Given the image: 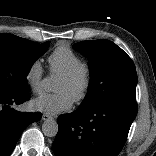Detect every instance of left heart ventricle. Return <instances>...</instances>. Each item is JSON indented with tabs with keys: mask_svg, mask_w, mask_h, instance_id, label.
<instances>
[{
	"mask_svg": "<svg viewBox=\"0 0 156 156\" xmlns=\"http://www.w3.org/2000/svg\"><path fill=\"white\" fill-rule=\"evenodd\" d=\"M78 88V83L68 82L62 78H59L55 86V91L64 92L73 99L78 91Z\"/></svg>",
	"mask_w": 156,
	"mask_h": 156,
	"instance_id": "1",
	"label": "left heart ventricle"
}]
</instances>
